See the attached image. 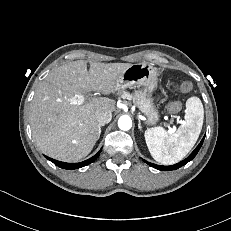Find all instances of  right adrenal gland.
<instances>
[{
    "label": "right adrenal gland",
    "mask_w": 231,
    "mask_h": 231,
    "mask_svg": "<svg viewBox=\"0 0 231 231\" xmlns=\"http://www.w3.org/2000/svg\"><path fill=\"white\" fill-rule=\"evenodd\" d=\"M101 126H104V125H98V131H99L98 138L100 137V134H101Z\"/></svg>",
    "instance_id": "2a0ac1e0"
}]
</instances>
